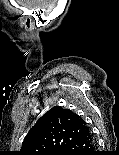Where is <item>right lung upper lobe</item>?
Masks as SVG:
<instances>
[{"mask_svg": "<svg viewBox=\"0 0 119 155\" xmlns=\"http://www.w3.org/2000/svg\"><path fill=\"white\" fill-rule=\"evenodd\" d=\"M88 130L83 119L71 110L53 107L30 129L18 155H60Z\"/></svg>", "mask_w": 119, "mask_h": 155, "instance_id": "right-lung-upper-lobe-1", "label": "right lung upper lobe"}]
</instances>
